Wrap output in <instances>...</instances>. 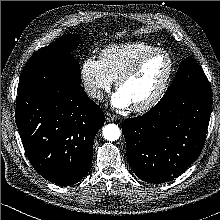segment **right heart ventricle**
Segmentation results:
<instances>
[{
  "mask_svg": "<svg viewBox=\"0 0 220 220\" xmlns=\"http://www.w3.org/2000/svg\"><path fill=\"white\" fill-rule=\"evenodd\" d=\"M155 48L157 47L144 42L109 45L102 49L100 61L107 74L115 80L141 55Z\"/></svg>",
  "mask_w": 220,
  "mask_h": 220,
  "instance_id": "obj_1",
  "label": "right heart ventricle"
}]
</instances>
